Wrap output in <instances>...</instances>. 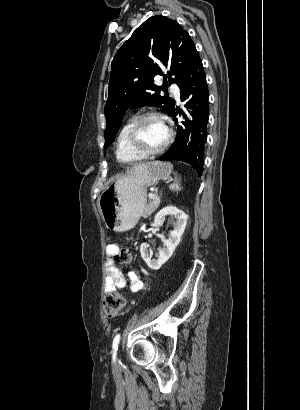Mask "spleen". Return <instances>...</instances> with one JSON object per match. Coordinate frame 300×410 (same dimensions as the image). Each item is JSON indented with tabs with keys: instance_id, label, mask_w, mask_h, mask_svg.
<instances>
[{
	"instance_id": "obj_1",
	"label": "spleen",
	"mask_w": 300,
	"mask_h": 410,
	"mask_svg": "<svg viewBox=\"0 0 300 410\" xmlns=\"http://www.w3.org/2000/svg\"><path fill=\"white\" fill-rule=\"evenodd\" d=\"M169 189L177 192L181 190L180 180L177 178V174H175L174 183L169 186Z\"/></svg>"
}]
</instances>
